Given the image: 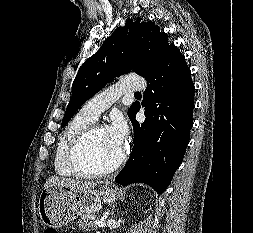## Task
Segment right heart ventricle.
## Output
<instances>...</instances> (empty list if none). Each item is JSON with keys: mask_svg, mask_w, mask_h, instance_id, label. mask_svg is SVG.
<instances>
[{"mask_svg": "<svg viewBox=\"0 0 253 233\" xmlns=\"http://www.w3.org/2000/svg\"><path fill=\"white\" fill-rule=\"evenodd\" d=\"M93 122L94 119L79 112L66 125L59 137L53 159L54 170L58 175L65 177L76 175L68 166V152L73 141Z\"/></svg>", "mask_w": 253, "mask_h": 233, "instance_id": "e07e8e85", "label": "right heart ventricle"}]
</instances>
